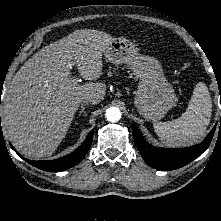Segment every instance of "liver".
Masks as SVG:
<instances>
[{
  "mask_svg": "<svg viewBox=\"0 0 221 221\" xmlns=\"http://www.w3.org/2000/svg\"><path fill=\"white\" fill-rule=\"evenodd\" d=\"M114 40L102 31L76 30L42 48L14 75L3 94L2 123L21 154L51 156L83 100L104 99L105 84H73L70 70L77 65L83 79L100 78L102 54Z\"/></svg>",
  "mask_w": 221,
  "mask_h": 221,
  "instance_id": "liver-1",
  "label": "liver"
}]
</instances>
